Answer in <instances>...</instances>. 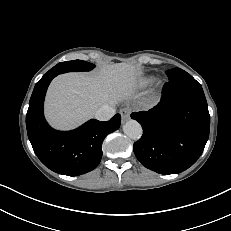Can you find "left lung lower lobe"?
I'll return each instance as SVG.
<instances>
[{"instance_id":"left-lung-lower-lobe-1","label":"left lung lower lobe","mask_w":231,"mask_h":231,"mask_svg":"<svg viewBox=\"0 0 231 231\" xmlns=\"http://www.w3.org/2000/svg\"><path fill=\"white\" fill-rule=\"evenodd\" d=\"M161 102L131 117L143 128L134 153L146 168L160 174L180 173L202 154L209 137L210 115L201 85L187 72H167Z\"/></svg>"}]
</instances>
